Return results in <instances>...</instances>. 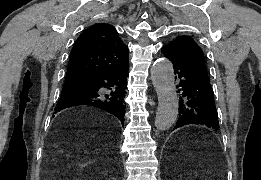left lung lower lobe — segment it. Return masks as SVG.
Segmentation results:
<instances>
[{
  "label": "left lung lower lobe",
  "mask_w": 261,
  "mask_h": 180,
  "mask_svg": "<svg viewBox=\"0 0 261 180\" xmlns=\"http://www.w3.org/2000/svg\"><path fill=\"white\" fill-rule=\"evenodd\" d=\"M162 52L172 61L177 88H180L179 119L174 129L196 124L217 131L218 113L207 72L181 57L173 47L166 45Z\"/></svg>",
  "instance_id": "0a47b994"
}]
</instances>
